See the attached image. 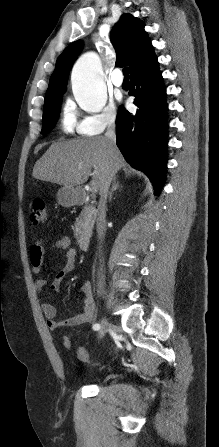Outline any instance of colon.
I'll use <instances>...</instances> for the list:
<instances>
[{"label":"colon","mask_w":219,"mask_h":447,"mask_svg":"<svg viewBox=\"0 0 219 447\" xmlns=\"http://www.w3.org/2000/svg\"><path fill=\"white\" fill-rule=\"evenodd\" d=\"M30 222L33 225H41L44 224L47 220V214H46V204L44 199L42 198H36L33 200L30 214H29ZM84 357L87 360L88 354L87 352L84 353Z\"/></svg>","instance_id":"obj_1"}]
</instances>
